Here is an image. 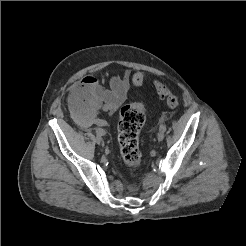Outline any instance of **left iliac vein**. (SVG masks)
<instances>
[{"label": "left iliac vein", "mask_w": 246, "mask_h": 246, "mask_svg": "<svg viewBox=\"0 0 246 246\" xmlns=\"http://www.w3.org/2000/svg\"><path fill=\"white\" fill-rule=\"evenodd\" d=\"M157 139L159 142L164 139V132L163 131H159V133L157 135Z\"/></svg>", "instance_id": "1"}]
</instances>
